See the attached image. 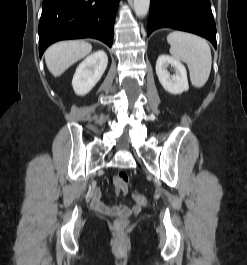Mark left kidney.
<instances>
[{
  "instance_id": "5707ae66",
  "label": "left kidney",
  "mask_w": 247,
  "mask_h": 265,
  "mask_svg": "<svg viewBox=\"0 0 247 265\" xmlns=\"http://www.w3.org/2000/svg\"><path fill=\"white\" fill-rule=\"evenodd\" d=\"M169 65L176 70L173 76L167 71ZM156 74L163 88L171 94H181L189 89L186 68L180 61L169 55L158 57Z\"/></svg>"
}]
</instances>
